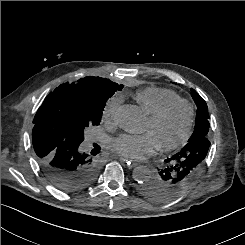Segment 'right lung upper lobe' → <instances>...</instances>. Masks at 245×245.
I'll list each match as a JSON object with an SVG mask.
<instances>
[{
	"instance_id": "1",
	"label": "right lung upper lobe",
	"mask_w": 245,
	"mask_h": 245,
	"mask_svg": "<svg viewBox=\"0 0 245 245\" xmlns=\"http://www.w3.org/2000/svg\"><path fill=\"white\" fill-rule=\"evenodd\" d=\"M113 83L109 79L88 76L77 83H64L51 92L39 107L33 123V133L50 130L45 123V113L48 109L66 103L88 102L92 100L95 92Z\"/></svg>"
}]
</instances>
